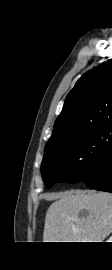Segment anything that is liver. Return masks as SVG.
<instances>
[{"instance_id":"obj_1","label":"liver","mask_w":112,"mask_h":270,"mask_svg":"<svg viewBox=\"0 0 112 270\" xmlns=\"http://www.w3.org/2000/svg\"><path fill=\"white\" fill-rule=\"evenodd\" d=\"M52 198L43 242H103L112 233L111 193L75 190Z\"/></svg>"}]
</instances>
